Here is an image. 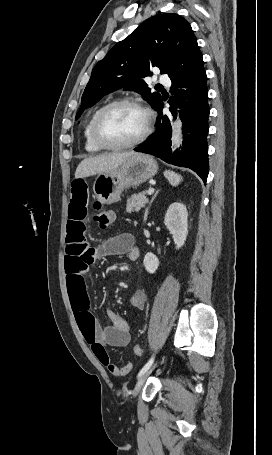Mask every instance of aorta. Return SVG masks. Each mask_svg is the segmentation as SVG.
<instances>
[{
	"instance_id": "1",
	"label": "aorta",
	"mask_w": 272,
	"mask_h": 455,
	"mask_svg": "<svg viewBox=\"0 0 272 455\" xmlns=\"http://www.w3.org/2000/svg\"><path fill=\"white\" fill-rule=\"evenodd\" d=\"M181 139V125L179 122L176 123L175 125V135L173 138V142L175 145H178L179 141Z\"/></svg>"
}]
</instances>
